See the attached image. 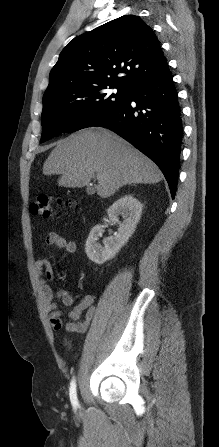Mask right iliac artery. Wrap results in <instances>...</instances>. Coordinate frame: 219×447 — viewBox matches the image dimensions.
<instances>
[{"instance_id":"1","label":"right iliac artery","mask_w":219,"mask_h":447,"mask_svg":"<svg viewBox=\"0 0 219 447\" xmlns=\"http://www.w3.org/2000/svg\"><path fill=\"white\" fill-rule=\"evenodd\" d=\"M69 395H70V400H71L73 407H77L78 399H77V394H76V380L75 379H73L71 381Z\"/></svg>"}]
</instances>
